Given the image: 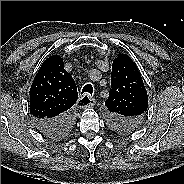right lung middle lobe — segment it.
<instances>
[{"label":"right lung middle lobe","instance_id":"obj_1","mask_svg":"<svg viewBox=\"0 0 184 184\" xmlns=\"http://www.w3.org/2000/svg\"><path fill=\"white\" fill-rule=\"evenodd\" d=\"M71 128H72V124L70 126H68L64 131L58 132V133L53 134V135H49V137H54V138L63 137L70 132Z\"/></svg>","mask_w":184,"mask_h":184}]
</instances>
